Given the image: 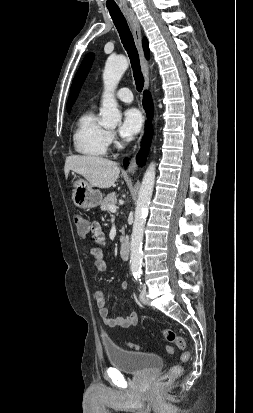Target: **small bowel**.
Returning a JSON list of instances; mask_svg holds the SVG:
<instances>
[{
	"mask_svg": "<svg viewBox=\"0 0 253 413\" xmlns=\"http://www.w3.org/2000/svg\"><path fill=\"white\" fill-rule=\"evenodd\" d=\"M91 232L93 234V239L96 243L102 244L104 242V236L101 231V227L98 223L94 222L91 226ZM94 261L93 265L96 271L103 272L106 270V262L104 258L103 250L100 247H95L91 250ZM122 287L126 288L127 283L123 282ZM95 303L98 307L99 314L104 322V324L109 328H129L137 324L138 314L132 312L130 315L125 317L112 318L109 316L108 308L106 307L105 296L102 290H96L94 293Z\"/></svg>",
	"mask_w": 253,
	"mask_h": 413,
	"instance_id": "1",
	"label": "small bowel"
}]
</instances>
